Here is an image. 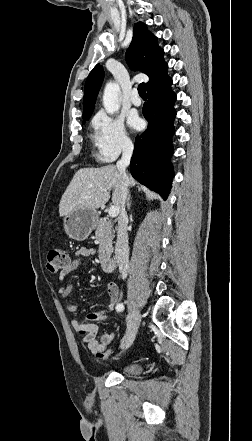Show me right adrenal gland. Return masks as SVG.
<instances>
[{
	"label": "right adrenal gland",
	"instance_id": "1",
	"mask_svg": "<svg viewBox=\"0 0 252 441\" xmlns=\"http://www.w3.org/2000/svg\"><path fill=\"white\" fill-rule=\"evenodd\" d=\"M130 195L127 198V209L130 210V206H131V201H130Z\"/></svg>",
	"mask_w": 252,
	"mask_h": 441
}]
</instances>
